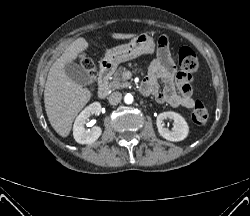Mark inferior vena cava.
Listing matches in <instances>:
<instances>
[{
  "label": "inferior vena cava",
  "mask_w": 250,
  "mask_h": 216,
  "mask_svg": "<svg viewBox=\"0 0 250 216\" xmlns=\"http://www.w3.org/2000/svg\"><path fill=\"white\" fill-rule=\"evenodd\" d=\"M122 99V94L120 92H113L109 97V103L111 105H117Z\"/></svg>",
  "instance_id": "602c4592"
}]
</instances>
